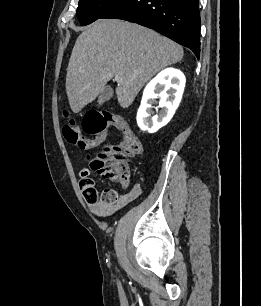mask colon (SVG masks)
Listing matches in <instances>:
<instances>
[{"label": "colon", "mask_w": 261, "mask_h": 306, "mask_svg": "<svg viewBox=\"0 0 261 306\" xmlns=\"http://www.w3.org/2000/svg\"><path fill=\"white\" fill-rule=\"evenodd\" d=\"M67 122L62 132L64 138L70 144L78 146L82 150L94 148L96 141L101 142L108 128L113 127L122 133L119 144L106 146L94 158L90 159V168L105 177L119 182L123 187L130 184L131 174L128 160L141 153V143L126 120L110 112L91 111L86 113L82 122L83 131L93 136L92 139L83 135L81 128L71 119L68 113H64ZM80 187L85 200L89 204L102 202L111 204L117 199V192L105 190L99 194L94 181L85 170L80 174Z\"/></svg>", "instance_id": "1"}]
</instances>
